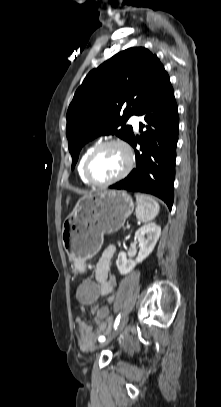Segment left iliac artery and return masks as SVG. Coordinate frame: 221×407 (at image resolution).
<instances>
[{
  "instance_id": "44dca946",
  "label": "left iliac artery",
  "mask_w": 221,
  "mask_h": 407,
  "mask_svg": "<svg viewBox=\"0 0 221 407\" xmlns=\"http://www.w3.org/2000/svg\"><path fill=\"white\" fill-rule=\"evenodd\" d=\"M119 321H120V314L116 317L115 322H114V329H115V330L117 329V326L119 325ZM109 332H110V329H107L106 335H108ZM99 341H100V342H104V341H105V337H104V336L100 337V338H99Z\"/></svg>"
}]
</instances>
